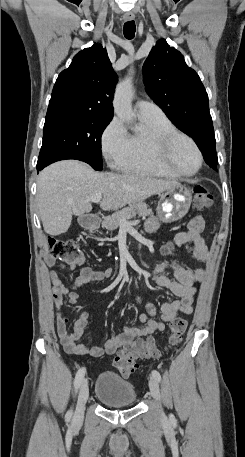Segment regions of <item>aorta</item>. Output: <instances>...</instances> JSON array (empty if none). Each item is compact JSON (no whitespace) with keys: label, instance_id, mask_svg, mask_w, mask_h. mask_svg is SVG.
Here are the masks:
<instances>
[{"label":"aorta","instance_id":"762f6f07","mask_svg":"<svg viewBox=\"0 0 245 457\" xmlns=\"http://www.w3.org/2000/svg\"><path fill=\"white\" fill-rule=\"evenodd\" d=\"M133 84L131 74L121 81L115 89L113 106L117 116L130 123L134 119L132 110Z\"/></svg>","mask_w":245,"mask_h":457}]
</instances>
